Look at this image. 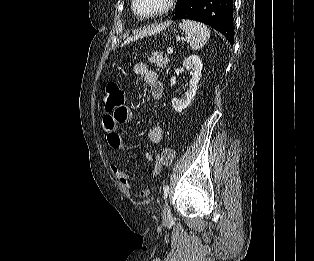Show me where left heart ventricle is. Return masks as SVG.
Wrapping results in <instances>:
<instances>
[{
  "label": "left heart ventricle",
  "instance_id": "left-heart-ventricle-1",
  "mask_svg": "<svg viewBox=\"0 0 314 261\" xmlns=\"http://www.w3.org/2000/svg\"><path fill=\"white\" fill-rule=\"evenodd\" d=\"M166 0H136V8L142 14H150L162 9Z\"/></svg>",
  "mask_w": 314,
  "mask_h": 261
}]
</instances>
